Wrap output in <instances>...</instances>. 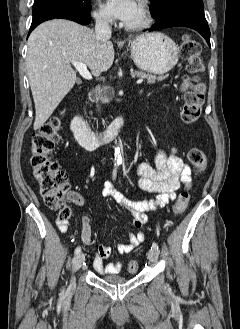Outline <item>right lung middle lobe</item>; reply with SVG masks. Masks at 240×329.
Listing matches in <instances>:
<instances>
[{"instance_id": "obj_1", "label": "right lung middle lobe", "mask_w": 240, "mask_h": 329, "mask_svg": "<svg viewBox=\"0 0 240 329\" xmlns=\"http://www.w3.org/2000/svg\"><path fill=\"white\" fill-rule=\"evenodd\" d=\"M91 0H35L33 9L39 7H57L90 13Z\"/></svg>"}]
</instances>
